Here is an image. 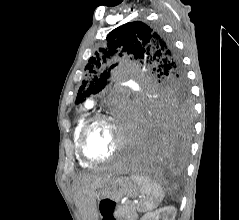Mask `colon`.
Returning <instances> with one entry per match:
<instances>
[{"instance_id":"5ec220e1","label":"colon","mask_w":239,"mask_h":220,"mask_svg":"<svg viewBox=\"0 0 239 220\" xmlns=\"http://www.w3.org/2000/svg\"><path fill=\"white\" fill-rule=\"evenodd\" d=\"M116 203L113 200L106 199L100 202V214L103 220H116L114 211Z\"/></svg>"}]
</instances>
